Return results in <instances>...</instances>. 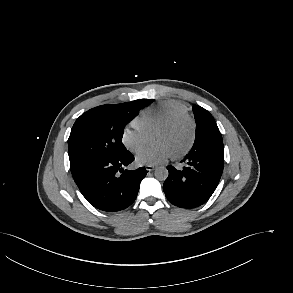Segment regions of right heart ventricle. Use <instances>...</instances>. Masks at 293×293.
Returning <instances> with one entry per match:
<instances>
[{"instance_id":"e07e8e85","label":"right heart ventricle","mask_w":293,"mask_h":293,"mask_svg":"<svg viewBox=\"0 0 293 293\" xmlns=\"http://www.w3.org/2000/svg\"><path fill=\"white\" fill-rule=\"evenodd\" d=\"M188 113L187 107L176 100H162L145 108L134 120V125L146 135L178 114Z\"/></svg>"}]
</instances>
